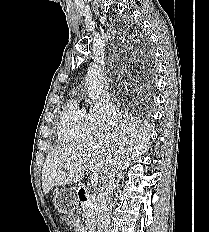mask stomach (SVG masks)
Segmentation results:
<instances>
[{
  "mask_svg": "<svg viewBox=\"0 0 209 232\" xmlns=\"http://www.w3.org/2000/svg\"><path fill=\"white\" fill-rule=\"evenodd\" d=\"M79 191H74L73 187L64 188L58 191L53 203H56L55 211L58 214H76L75 206H79Z\"/></svg>",
  "mask_w": 209,
  "mask_h": 232,
  "instance_id": "obj_1",
  "label": "stomach"
}]
</instances>
